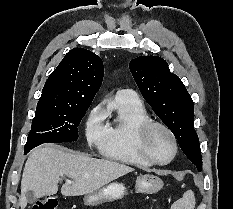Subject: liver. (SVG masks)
Here are the masks:
<instances>
[{"label": "liver", "mask_w": 233, "mask_h": 209, "mask_svg": "<svg viewBox=\"0 0 233 209\" xmlns=\"http://www.w3.org/2000/svg\"><path fill=\"white\" fill-rule=\"evenodd\" d=\"M133 171L132 167L111 160L91 158L54 146H41L30 152L25 163L19 204L21 209L26 208L28 191L35 198L56 194L60 176L72 179L71 184L66 182L61 187L62 195L81 196Z\"/></svg>", "instance_id": "obj_1"}]
</instances>
